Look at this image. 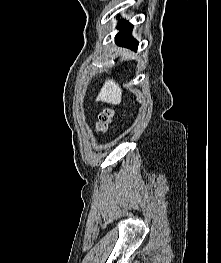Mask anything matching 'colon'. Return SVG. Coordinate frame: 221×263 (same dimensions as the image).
Listing matches in <instances>:
<instances>
[{"label": "colon", "mask_w": 221, "mask_h": 263, "mask_svg": "<svg viewBox=\"0 0 221 263\" xmlns=\"http://www.w3.org/2000/svg\"><path fill=\"white\" fill-rule=\"evenodd\" d=\"M112 115L113 114H112V112L110 110H106L99 116L98 128L100 130H102V131L106 130Z\"/></svg>", "instance_id": "colon-1"}]
</instances>
